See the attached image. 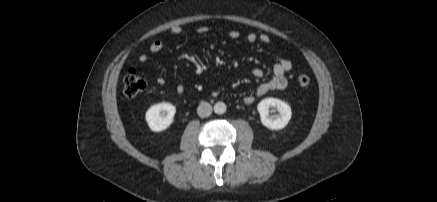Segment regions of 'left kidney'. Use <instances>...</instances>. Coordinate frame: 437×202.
<instances>
[{
  "mask_svg": "<svg viewBox=\"0 0 437 202\" xmlns=\"http://www.w3.org/2000/svg\"><path fill=\"white\" fill-rule=\"evenodd\" d=\"M269 109H276L279 114L270 115ZM261 123L271 129H283L291 119V108L284 101L277 98H265L257 106Z\"/></svg>",
  "mask_w": 437,
  "mask_h": 202,
  "instance_id": "obj_1",
  "label": "left kidney"
}]
</instances>
